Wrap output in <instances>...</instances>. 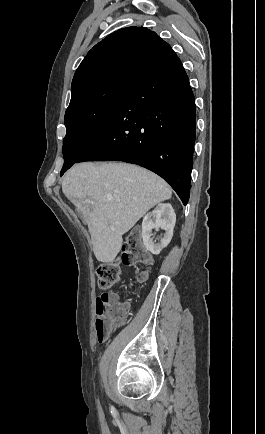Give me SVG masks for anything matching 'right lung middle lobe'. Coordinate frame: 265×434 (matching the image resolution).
<instances>
[{
  "label": "right lung middle lobe",
  "instance_id": "1",
  "mask_svg": "<svg viewBox=\"0 0 265 434\" xmlns=\"http://www.w3.org/2000/svg\"><path fill=\"white\" fill-rule=\"evenodd\" d=\"M135 75L117 74L72 88L65 113L61 175L92 146L114 116Z\"/></svg>",
  "mask_w": 265,
  "mask_h": 434
}]
</instances>
